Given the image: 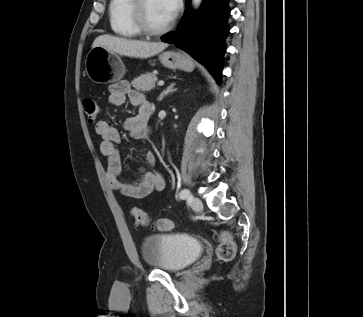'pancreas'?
<instances>
[{
	"mask_svg": "<svg viewBox=\"0 0 363 317\" xmlns=\"http://www.w3.org/2000/svg\"><path fill=\"white\" fill-rule=\"evenodd\" d=\"M157 82V77L152 73L142 74L141 76L135 78L131 85L138 91H150L155 88V83Z\"/></svg>",
	"mask_w": 363,
	"mask_h": 317,
	"instance_id": "pancreas-1",
	"label": "pancreas"
}]
</instances>
